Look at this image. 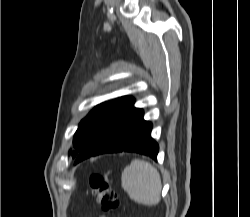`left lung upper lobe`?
<instances>
[{
  "mask_svg": "<svg viewBox=\"0 0 250 217\" xmlns=\"http://www.w3.org/2000/svg\"><path fill=\"white\" fill-rule=\"evenodd\" d=\"M129 97H121L112 101L104 102L96 106L79 124L74 135L73 145L75 150L69 154L73 158L86 147L104 124L116 113Z\"/></svg>",
  "mask_w": 250,
  "mask_h": 217,
  "instance_id": "left-lung-upper-lobe-1",
  "label": "left lung upper lobe"
}]
</instances>
